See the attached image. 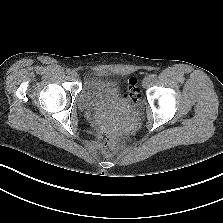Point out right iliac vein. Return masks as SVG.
Segmentation results:
<instances>
[{"mask_svg": "<svg viewBox=\"0 0 223 223\" xmlns=\"http://www.w3.org/2000/svg\"><path fill=\"white\" fill-rule=\"evenodd\" d=\"M71 77L72 78H76L78 76L77 72L75 70H73L71 73H70Z\"/></svg>", "mask_w": 223, "mask_h": 223, "instance_id": "obj_1", "label": "right iliac vein"}]
</instances>
